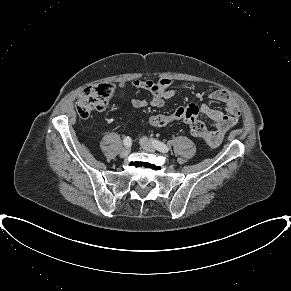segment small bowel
Returning <instances> with one entry per match:
<instances>
[{"mask_svg": "<svg viewBox=\"0 0 291 291\" xmlns=\"http://www.w3.org/2000/svg\"><path fill=\"white\" fill-rule=\"evenodd\" d=\"M132 86L149 91L147 99L132 98L131 105L134 108L155 107L162 108L165 102L175 95L171 88L172 82L168 78H162L157 82L151 80H136ZM209 98L224 104L226 113L213 109L207 104L198 107L199 112L211 119L215 123V129L211 131L216 143L220 142L226 132L234 127L240 117V109L234 99L223 90H216L209 94Z\"/></svg>", "mask_w": 291, "mask_h": 291, "instance_id": "1", "label": "small bowel"}]
</instances>
